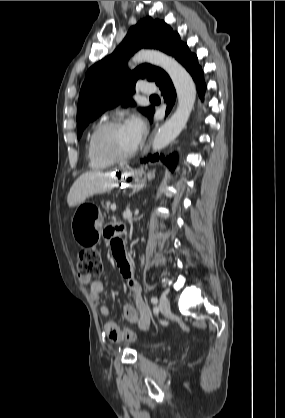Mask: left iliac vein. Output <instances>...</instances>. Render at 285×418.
I'll list each match as a JSON object with an SVG mask.
<instances>
[{
    "label": "left iliac vein",
    "mask_w": 285,
    "mask_h": 418,
    "mask_svg": "<svg viewBox=\"0 0 285 418\" xmlns=\"http://www.w3.org/2000/svg\"><path fill=\"white\" fill-rule=\"evenodd\" d=\"M159 309L160 311H162L163 313H168L170 311V303L168 298L165 295H161L160 296V300H159Z\"/></svg>",
    "instance_id": "4c4485c4"
}]
</instances>
